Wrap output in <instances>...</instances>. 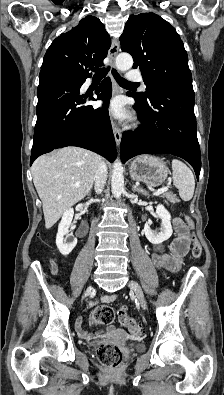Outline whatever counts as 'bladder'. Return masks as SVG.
Returning a JSON list of instances; mask_svg holds the SVG:
<instances>
[{"label":"bladder","mask_w":224,"mask_h":395,"mask_svg":"<svg viewBox=\"0 0 224 395\" xmlns=\"http://www.w3.org/2000/svg\"><path fill=\"white\" fill-rule=\"evenodd\" d=\"M135 349L141 351V350L144 349V345L140 344V343H137V344H135Z\"/></svg>","instance_id":"1"}]
</instances>
